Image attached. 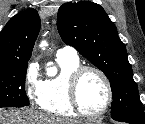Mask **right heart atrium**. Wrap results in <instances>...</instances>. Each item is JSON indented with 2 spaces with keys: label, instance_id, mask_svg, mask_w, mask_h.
Masks as SVG:
<instances>
[{
  "label": "right heart atrium",
  "instance_id": "d8ad5b80",
  "mask_svg": "<svg viewBox=\"0 0 145 124\" xmlns=\"http://www.w3.org/2000/svg\"><path fill=\"white\" fill-rule=\"evenodd\" d=\"M39 66L37 63H31L27 69L26 74V93L28 97L37 101L39 98V92L41 89L42 82L38 77Z\"/></svg>",
  "mask_w": 145,
  "mask_h": 124
}]
</instances>
